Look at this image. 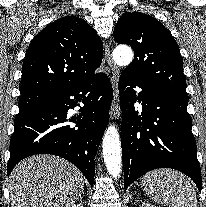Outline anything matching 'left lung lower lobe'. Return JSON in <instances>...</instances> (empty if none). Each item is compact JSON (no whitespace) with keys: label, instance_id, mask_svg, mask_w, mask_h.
<instances>
[{"label":"left lung lower lobe","instance_id":"obj_1","mask_svg":"<svg viewBox=\"0 0 206 207\" xmlns=\"http://www.w3.org/2000/svg\"><path fill=\"white\" fill-rule=\"evenodd\" d=\"M136 87L142 89L138 97ZM119 92L125 190L150 170L173 168L189 176L201 191L188 96L148 86L124 74L119 78ZM137 100L142 102L141 115L134 109Z\"/></svg>","mask_w":206,"mask_h":207}]
</instances>
